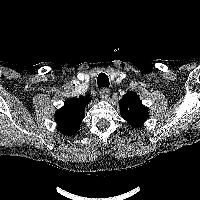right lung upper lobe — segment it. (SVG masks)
<instances>
[{"mask_svg": "<svg viewBox=\"0 0 200 200\" xmlns=\"http://www.w3.org/2000/svg\"><path fill=\"white\" fill-rule=\"evenodd\" d=\"M90 98H72L65 101L64 106L56 112L55 119L58 130L64 135H74L82 122L86 102Z\"/></svg>", "mask_w": 200, "mask_h": 200, "instance_id": "obj_1", "label": "right lung upper lobe"}]
</instances>
